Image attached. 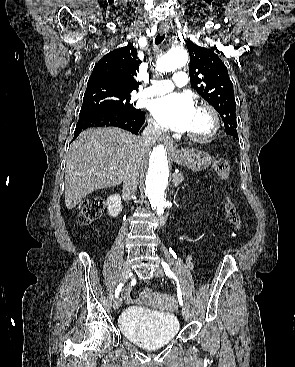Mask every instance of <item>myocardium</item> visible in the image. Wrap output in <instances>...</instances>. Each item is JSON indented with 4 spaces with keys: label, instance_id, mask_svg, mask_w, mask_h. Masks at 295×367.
Segmentation results:
<instances>
[{
    "label": "myocardium",
    "instance_id": "myocardium-1",
    "mask_svg": "<svg viewBox=\"0 0 295 367\" xmlns=\"http://www.w3.org/2000/svg\"><path fill=\"white\" fill-rule=\"evenodd\" d=\"M196 110L207 113L211 119V127L208 132L201 135L186 133L187 139L197 143L208 142L213 139L220 130V118L217 111L209 104L202 103Z\"/></svg>",
    "mask_w": 295,
    "mask_h": 367
}]
</instances>
